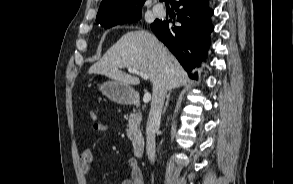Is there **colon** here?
Segmentation results:
<instances>
[{"instance_id": "1", "label": "colon", "mask_w": 293, "mask_h": 184, "mask_svg": "<svg viewBox=\"0 0 293 184\" xmlns=\"http://www.w3.org/2000/svg\"><path fill=\"white\" fill-rule=\"evenodd\" d=\"M89 115H90V118H91L92 120H96L97 115H96L95 111L91 110V111L89 112Z\"/></svg>"}]
</instances>
